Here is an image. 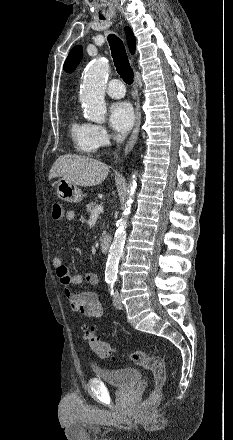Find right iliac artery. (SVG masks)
Instances as JSON below:
<instances>
[{"label": "right iliac artery", "instance_id": "right-iliac-artery-1", "mask_svg": "<svg viewBox=\"0 0 233 440\" xmlns=\"http://www.w3.org/2000/svg\"><path fill=\"white\" fill-rule=\"evenodd\" d=\"M106 282L110 284L112 281L111 280H107Z\"/></svg>", "mask_w": 233, "mask_h": 440}]
</instances>
